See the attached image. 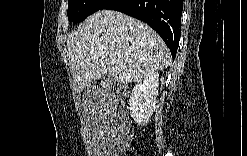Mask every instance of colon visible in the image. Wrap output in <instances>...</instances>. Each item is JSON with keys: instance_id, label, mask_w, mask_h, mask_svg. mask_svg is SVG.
I'll return each instance as SVG.
<instances>
[{"instance_id": "obj_1", "label": "colon", "mask_w": 247, "mask_h": 156, "mask_svg": "<svg viewBox=\"0 0 247 156\" xmlns=\"http://www.w3.org/2000/svg\"><path fill=\"white\" fill-rule=\"evenodd\" d=\"M113 90L118 96H125L127 94V89L125 86L116 85L114 86Z\"/></svg>"}]
</instances>
